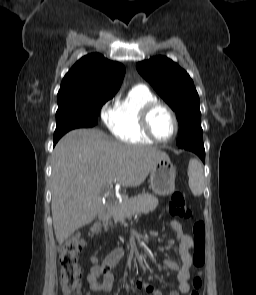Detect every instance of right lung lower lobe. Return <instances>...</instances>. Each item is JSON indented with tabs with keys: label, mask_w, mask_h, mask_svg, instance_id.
I'll use <instances>...</instances> for the list:
<instances>
[{
	"label": "right lung lower lobe",
	"mask_w": 256,
	"mask_h": 295,
	"mask_svg": "<svg viewBox=\"0 0 256 295\" xmlns=\"http://www.w3.org/2000/svg\"><path fill=\"white\" fill-rule=\"evenodd\" d=\"M94 125H96V123L90 119V120H88V122H87V126H86V127H93ZM63 135H64V134H63ZM63 135H55V136H54V145L58 142V140H59Z\"/></svg>",
	"instance_id": "1"
}]
</instances>
